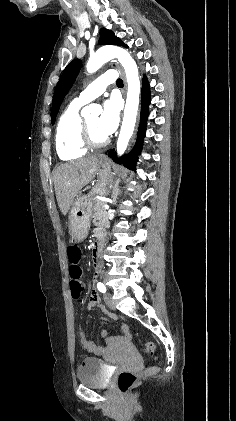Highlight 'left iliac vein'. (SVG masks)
<instances>
[{"mask_svg":"<svg viewBox=\"0 0 236 421\" xmlns=\"http://www.w3.org/2000/svg\"><path fill=\"white\" fill-rule=\"evenodd\" d=\"M104 301L110 308L115 309V304L110 293L104 294Z\"/></svg>","mask_w":236,"mask_h":421,"instance_id":"obj_1","label":"left iliac vein"}]
</instances>
